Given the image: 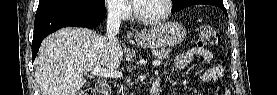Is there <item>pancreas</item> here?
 Returning a JSON list of instances; mask_svg holds the SVG:
<instances>
[{
    "label": "pancreas",
    "mask_w": 277,
    "mask_h": 95,
    "mask_svg": "<svg viewBox=\"0 0 277 95\" xmlns=\"http://www.w3.org/2000/svg\"><path fill=\"white\" fill-rule=\"evenodd\" d=\"M171 50L170 49H161L155 52L156 58L159 60H164L169 58Z\"/></svg>",
    "instance_id": "obj_1"
}]
</instances>
